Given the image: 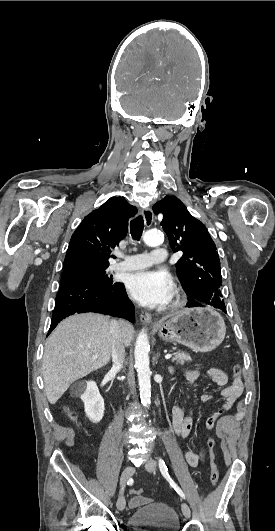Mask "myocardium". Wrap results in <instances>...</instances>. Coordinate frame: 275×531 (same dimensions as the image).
Segmentation results:
<instances>
[{
  "label": "myocardium",
  "mask_w": 275,
  "mask_h": 531,
  "mask_svg": "<svg viewBox=\"0 0 275 531\" xmlns=\"http://www.w3.org/2000/svg\"><path fill=\"white\" fill-rule=\"evenodd\" d=\"M184 299L183 292L180 290V288L174 286L171 291V296L168 301V307L169 309H176L179 307Z\"/></svg>",
  "instance_id": "myocardium-1"
}]
</instances>
